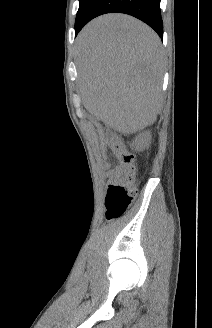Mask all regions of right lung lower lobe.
Instances as JSON below:
<instances>
[{
  "mask_svg": "<svg viewBox=\"0 0 212 328\" xmlns=\"http://www.w3.org/2000/svg\"><path fill=\"white\" fill-rule=\"evenodd\" d=\"M115 12L129 14L142 20L153 28L160 38H163L160 0H95L84 21L75 29V35L93 18Z\"/></svg>",
  "mask_w": 212,
  "mask_h": 328,
  "instance_id": "1",
  "label": "right lung lower lobe"
}]
</instances>
